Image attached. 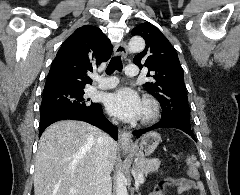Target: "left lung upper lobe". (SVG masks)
<instances>
[{"label": "left lung upper lobe", "instance_id": "5c2ea615", "mask_svg": "<svg viewBox=\"0 0 240 195\" xmlns=\"http://www.w3.org/2000/svg\"><path fill=\"white\" fill-rule=\"evenodd\" d=\"M132 35H139L146 42L144 51L136 55L133 61L140 69L148 68L147 76L153 78L144 87L161 104V119L190 123L184 72L177 52L161 31L149 23L135 27Z\"/></svg>", "mask_w": 240, "mask_h": 195}]
</instances>
